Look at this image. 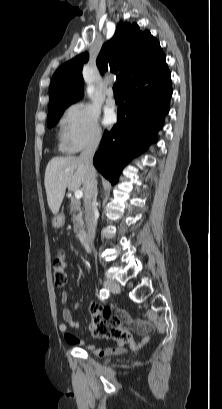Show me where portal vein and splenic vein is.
Wrapping results in <instances>:
<instances>
[{"label": "portal vein and splenic vein", "mask_w": 222, "mask_h": 409, "mask_svg": "<svg viewBox=\"0 0 222 409\" xmlns=\"http://www.w3.org/2000/svg\"><path fill=\"white\" fill-rule=\"evenodd\" d=\"M74 196L77 200H80L83 196V192L81 190H76Z\"/></svg>", "instance_id": "portal-vein-and-splenic-vein-1"}]
</instances>
